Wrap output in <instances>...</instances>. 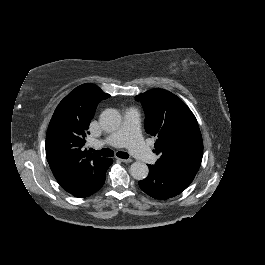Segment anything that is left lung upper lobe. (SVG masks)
I'll list each match as a JSON object with an SVG mask.
<instances>
[{
    "label": "left lung upper lobe",
    "instance_id": "1",
    "mask_svg": "<svg viewBox=\"0 0 265 265\" xmlns=\"http://www.w3.org/2000/svg\"><path fill=\"white\" fill-rule=\"evenodd\" d=\"M145 110V130L156 138L155 152L160 155L158 169L196 174L203 156V141L197 120L187 105L163 89L140 95Z\"/></svg>",
    "mask_w": 265,
    "mask_h": 265
}]
</instances>
